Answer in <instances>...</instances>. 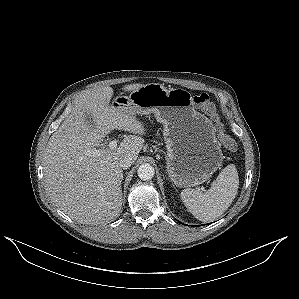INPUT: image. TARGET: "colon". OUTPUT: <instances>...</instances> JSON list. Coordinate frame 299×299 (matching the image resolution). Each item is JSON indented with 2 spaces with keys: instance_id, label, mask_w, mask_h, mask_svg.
Masks as SVG:
<instances>
[{
  "instance_id": "obj_1",
  "label": "colon",
  "mask_w": 299,
  "mask_h": 299,
  "mask_svg": "<svg viewBox=\"0 0 299 299\" xmlns=\"http://www.w3.org/2000/svg\"><path fill=\"white\" fill-rule=\"evenodd\" d=\"M194 102L198 104L201 109L215 121L216 127L218 129L219 140L224 145V147L228 150H234L236 144L234 140L224 131L223 124L219 119V115L216 111V107L211 97L206 93H201L194 96Z\"/></svg>"
}]
</instances>
